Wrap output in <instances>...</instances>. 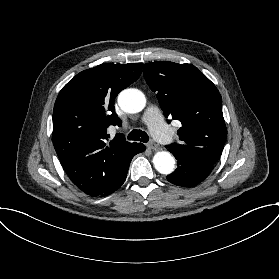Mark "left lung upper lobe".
Instances as JSON below:
<instances>
[{
	"label": "left lung upper lobe",
	"instance_id": "left-lung-upper-lobe-1",
	"mask_svg": "<svg viewBox=\"0 0 279 279\" xmlns=\"http://www.w3.org/2000/svg\"><path fill=\"white\" fill-rule=\"evenodd\" d=\"M143 74L164 115L182 123L177 132L180 142L167 148L215 164L227 136L222 98L215 85L191 64L157 61L145 64Z\"/></svg>",
	"mask_w": 279,
	"mask_h": 279
}]
</instances>
